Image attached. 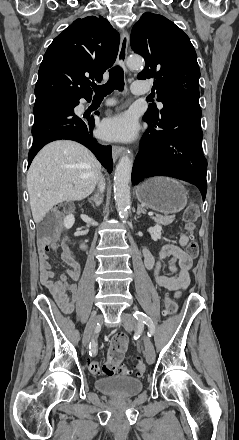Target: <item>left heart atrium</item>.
Instances as JSON below:
<instances>
[{"instance_id":"obj_1","label":"left heart atrium","mask_w":239,"mask_h":440,"mask_svg":"<svg viewBox=\"0 0 239 440\" xmlns=\"http://www.w3.org/2000/svg\"><path fill=\"white\" fill-rule=\"evenodd\" d=\"M101 131L108 139L128 141L137 134V122L131 113L124 112L105 120Z\"/></svg>"}]
</instances>
